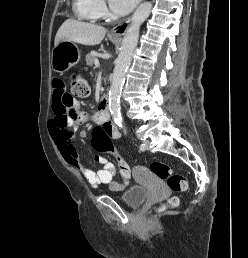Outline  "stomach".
Masks as SVG:
<instances>
[{
  "label": "stomach",
  "instance_id": "obj_1",
  "mask_svg": "<svg viewBox=\"0 0 248 258\" xmlns=\"http://www.w3.org/2000/svg\"><path fill=\"white\" fill-rule=\"evenodd\" d=\"M80 58V51L74 42L61 41L52 50L51 67L57 73H64L76 65Z\"/></svg>",
  "mask_w": 248,
  "mask_h": 258
}]
</instances>
